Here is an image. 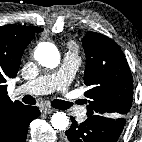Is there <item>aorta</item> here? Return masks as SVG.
<instances>
[{
    "label": "aorta",
    "mask_w": 142,
    "mask_h": 142,
    "mask_svg": "<svg viewBox=\"0 0 142 142\" xmlns=\"http://www.w3.org/2000/svg\"><path fill=\"white\" fill-rule=\"evenodd\" d=\"M34 58L43 67L53 69L59 64L60 53L53 43L43 42L36 48ZM51 124L57 130H65L69 125L68 116L64 112L54 113Z\"/></svg>",
    "instance_id": "762f6f07"
}]
</instances>
